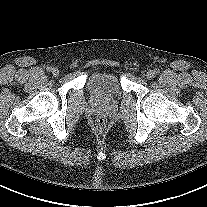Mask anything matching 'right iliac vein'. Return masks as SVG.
I'll return each instance as SVG.
<instances>
[{"label": "right iliac vein", "mask_w": 207, "mask_h": 207, "mask_svg": "<svg viewBox=\"0 0 207 207\" xmlns=\"http://www.w3.org/2000/svg\"><path fill=\"white\" fill-rule=\"evenodd\" d=\"M52 74L57 77L59 75V70L57 68L52 69Z\"/></svg>", "instance_id": "1"}]
</instances>
